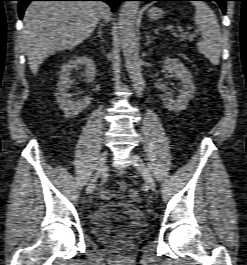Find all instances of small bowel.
<instances>
[{"mask_svg":"<svg viewBox=\"0 0 247 265\" xmlns=\"http://www.w3.org/2000/svg\"><path fill=\"white\" fill-rule=\"evenodd\" d=\"M101 197L103 199L115 198V199H119V200L126 201V202H134V201L140 200V197L135 189H130L128 191L121 192V193L116 192L112 189H105L102 191Z\"/></svg>","mask_w":247,"mask_h":265,"instance_id":"c3829d8e","label":"small bowel"}]
</instances>
